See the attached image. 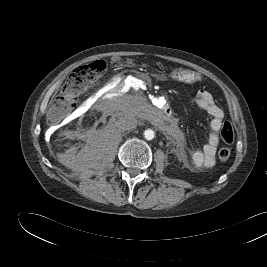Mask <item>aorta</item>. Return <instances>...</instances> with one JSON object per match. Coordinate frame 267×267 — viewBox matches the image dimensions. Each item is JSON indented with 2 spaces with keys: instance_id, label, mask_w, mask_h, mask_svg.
Listing matches in <instances>:
<instances>
[{
  "instance_id": "aorta-1",
  "label": "aorta",
  "mask_w": 267,
  "mask_h": 267,
  "mask_svg": "<svg viewBox=\"0 0 267 267\" xmlns=\"http://www.w3.org/2000/svg\"><path fill=\"white\" fill-rule=\"evenodd\" d=\"M144 137L147 140H152L155 137V132L152 129H147L144 131Z\"/></svg>"
}]
</instances>
